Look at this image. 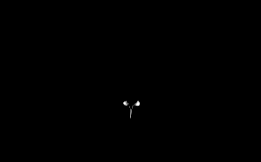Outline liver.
Segmentation results:
<instances>
[{"instance_id":"obj_1","label":"liver","mask_w":261,"mask_h":162,"mask_svg":"<svg viewBox=\"0 0 261 162\" xmlns=\"http://www.w3.org/2000/svg\"><path fill=\"white\" fill-rule=\"evenodd\" d=\"M69 38L70 33H67L65 37L63 36L55 50V71L60 84L64 88H67L65 85L71 78L72 49L70 42H68Z\"/></svg>"}]
</instances>
